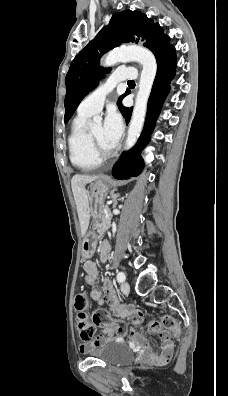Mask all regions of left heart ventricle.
Masks as SVG:
<instances>
[{"label":"left heart ventricle","instance_id":"b2bd125f","mask_svg":"<svg viewBox=\"0 0 228 396\" xmlns=\"http://www.w3.org/2000/svg\"><path fill=\"white\" fill-rule=\"evenodd\" d=\"M93 135L105 150H112L114 147L106 140L103 125H98L92 130Z\"/></svg>","mask_w":228,"mask_h":396}]
</instances>
